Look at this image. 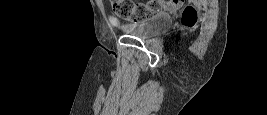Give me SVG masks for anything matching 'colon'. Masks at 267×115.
Segmentation results:
<instances>
[{"mask_svg": "<svg viewBox=\"0 0 267 115\" xmlns=\"http://www.w3.org/2000/svg\"><path fill=\"white\" fill-rule=\"evenodd\" d=\"M113 8L119 17L134 22L144 21L163 12V6L159 3H134L130 0H115L113 1ZM182 22L187 26H193L197 22V11L194 7L184 8Z\"/></svg>", "mask_w": 267, "mask_h": 115, "instance_id": "obj_1", "label": "colon"}]
</instances>
